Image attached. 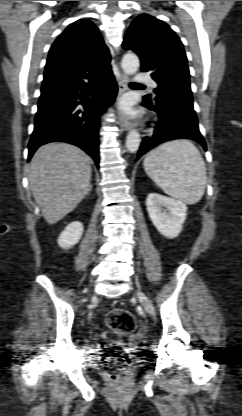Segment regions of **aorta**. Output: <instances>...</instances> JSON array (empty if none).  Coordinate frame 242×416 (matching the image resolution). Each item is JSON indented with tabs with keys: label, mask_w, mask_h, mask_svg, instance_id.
I'll return each mask as SVG.
<instances>
[{
	"label": "aorta",
	"mask_w": 242,
	"mask_h": 416,
	"mask_svg": "<svg viewBox=\"0 0 242 416\" xmlns=\"http://www.w3.org/2000/svg\"><path fill=\"white\" fill-rule=\"evenodd\" d=\"M140 66L139 58L134 53H127L123 56L121 67L123 71L128 75L135 74ZM140 134L136 130H131L126 138V147L129 152L134 153L140 146Z\"/></svg>",
	"instance_id": "1"
}]
</instances>
